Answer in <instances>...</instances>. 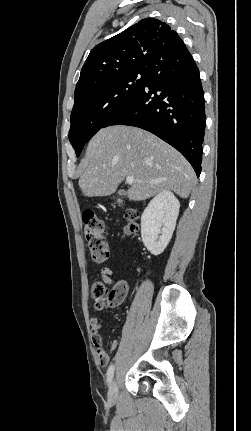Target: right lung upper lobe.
<instances>
[{
	"label": "right lung upper lobe",
	"instance_id": "1",
	"mask_svg": "<svg viewBox=\"0 0 251 431\" xmlns=\"http://www.w3.org/2000/svg\"><path fill=\"white\" fill-rule=\"evenodd\" d=\"M184 46L166 23L154 18L142 19L91 50L75 94L123 73L146 69L158 56Z\"/></svg>",
	"mask_w": 251,
	"mask_h": 431
}]
</instances>
